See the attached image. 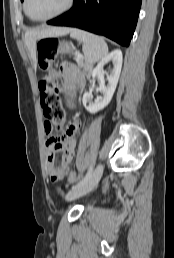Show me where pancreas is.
I'll return each instance as SVG.
<instances>
[{"mask_svg":"<svg viewBox=\"0 0 174 258\" xmlns=\"http://www.w3.org/2000/svg\"><path fill=\"white\" fill-rule=\"evenodd\" d=\"M76 61H77L78 66L80 68H82L83 71H85L87 73H90L92 71V66L89 65V64L84 63L82 58L79 59V60L76 59Z\"/></svg>","mask_w":174,"mask_h":258,"instance_id":"pancreas-1","label":"pancreas"}]
</instances>
